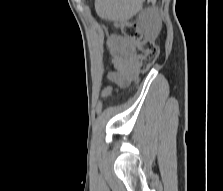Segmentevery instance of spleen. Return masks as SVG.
<instances>
[{"label":"spleen","mask_w":223,"mask_h":191,"mask_svg":"<svg viewBox=\"0 0 223 191\" xmlns=\"http://www.w3.org/2000/svg\"><path fill=\"white\" fill-rule=\"evenodd\" d=\"M139 3L140 0H95V8L101 18L118 21L134 15Z\"/></svg>","instance_id":"1"}]
</instances>
